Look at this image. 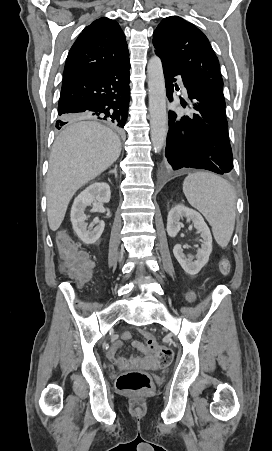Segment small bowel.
I'll return each instance as SVG.
<instances>
[{"label":"small bowel","instance_id":"obj_1","mask_svg":"<svg viewBox=\"0 0 272 451\" xmlns=\"http://www.w3.org/2000/svg\"><path fill=\"white\" fill-rule=\"evenodd\" d=\"M195 299V294L193 293V292H190V293H188V295H187V300L188 301H193ZM142 333H143V335H144V337H145V343H143V342H140V341H138V340H135L134 339V335L132 334V333H130V332H125V333H123V338L125 339V340H132V345H133V347L134 348H144L145 347V344H146V342H147V338L149 337V336H152L150 333H148V332H146V331H142ZM123 346V344H122V342L121 341H113V342H111V344L109 345V347L107 348V357H108V355H109V352H117L118 350H119V346Z\"/></svg>","mask_w":272,"mask_h":451}]
</instances>
